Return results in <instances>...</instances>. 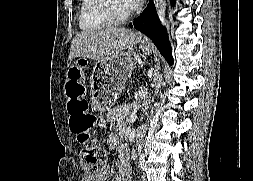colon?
I'll use <instances>...</instances> for the list:
<instances>
[{
	"instance_id": "5ec220e1",
	"label": "colon",
	"mask_w": 253,
	"mask_h": 181,
	"mask_svg": "<svg viewBox=\"0 0 253 181\" xmlns=\"http://www.w3.org/2000/svg\"><path fill=\"white\" fill-rule=\"evenodd\" d=\"M65 95L69 127L78 140L86 143L96 125V117L89 111V102L85 98L86 88L83 83V71L72 65L65 74ZM106 152L97 146H86L82 151V165L89 174H97L105 166Z\"/></svg>"
}]
</instances>
